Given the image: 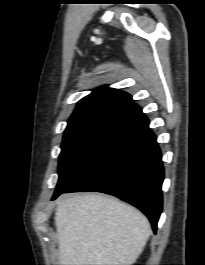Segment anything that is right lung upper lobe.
I'll return each instance as SVG.
<instances>
[{
  "mask_svg": "<svg viewBox=\"0 0 205 265\" xmlns=\"http://www.w3.org/2000/svg\"><path fill=\"white\" fill-rule=\"evenodd\" d=\"M143 112L123 91L102 86L81 99L68 120L64 134L94 125L128 126Z\"/></svg>",
  "mask_w": 205,
  "mask_h": 265,
  "instance_id": "cb5924a9",
  "label": "right lung upper lobe"
}]
</instances>
